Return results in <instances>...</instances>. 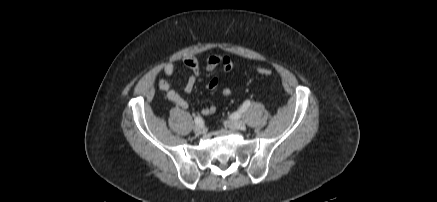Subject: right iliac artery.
Listing matches in <instances>:
<instances>
[{
    "label": "right iliac artery",
    "mask_w": 437,
    "mask_h": 202,
    "mask_svg": "<svg viewBox=\"0 0 437 202\" xmlns=\"http://www.w3.org/2000/svg\"><path fill=\"white\" fill-rule=\"evenodd\" d=\"M203 123H204V121H203V119H202L200 116H197V117L195 118V124H196V125H198V126H202Z\"/></svg>",
    "instance_id": "1"
}]
</instances>
